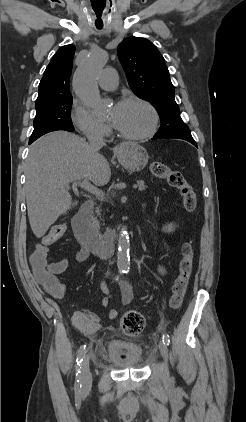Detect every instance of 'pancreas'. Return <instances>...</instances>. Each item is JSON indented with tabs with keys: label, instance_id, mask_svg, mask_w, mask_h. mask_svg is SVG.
<instances>
[{
	"label": "pancreas",
	"instance_id": "cf45deb5",
	"mask_svg": "<svg viewBox=\"0 0 246 422\" xmlns=\"http://www.w3.org/2000/svg\"><path fill=\"white\" fill-rule=\"evenodd\" d=\"M138 184H139V190H144L145 188H146V186H145V184H144V182L143 181H138ZM96 214H97V216H101V208L100 207H98L97 208V210H96ZM94 222L95 223H98V220H97V218H95V220H94Z\"/></svg>",
	"mask_w": 246,
	"mask_h": 422
}]
</instances>
